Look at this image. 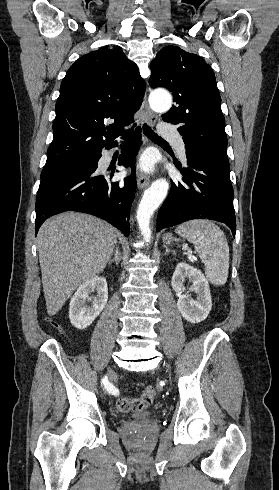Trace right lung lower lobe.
<instances>
[{"label":"right lung lower lobe","instance_id":"obj_1","mask_svg":"<svg viewBox=\"0 0 279 490\" xmlns=\"http://www.w3.org/2000/svg\"><path fill=\"white\" fill-rule=\"evenodd\" d=\"M115 146L116 143L106 148ZM139 146L140 130L137 128L135 133L130 135L119 157V165L132 168L131 175L123 181H110L114 169L108 176L98 174L96 169L101 157L100 153L92 157L91 166L94 171L40 184L35 204L36 233L50 216L71 210L102 218L128 236L130 208L136 191L134 164Z\"/></svg>","mask_w":279,"mask_h":490}]
</instances>
